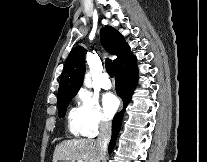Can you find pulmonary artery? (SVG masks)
Segmentation results:
<instances>
[{
	"label": "pulmonary artery",
	"mask_w": 207,
	"mask_h": 162,
	"mask_svg": "<svg viewBox=\"0 0 207 162\" xmlns=\"http://www.w3.org/2000/svg\"><path fill=\"white\" fill-rule=\"evenodd\" d=\"M99 85L101 88L105 89V90H109L112 87V83L109 79L108 74L103 73L101 75L100 81H99Z\"/></svg>",
	"instance_id": "e3ab8cb5"
}]
</instances>
